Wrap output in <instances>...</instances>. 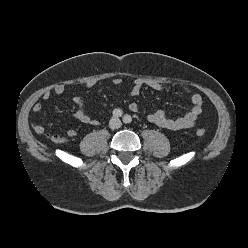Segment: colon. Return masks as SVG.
<instances>
[{
    "instance_id": "colon-1",
    "label": "colon",
    "mask_w": 248,
    "mask_h": 248,
    "mask_svg": "<svg viewBox=\"0 0 248 248\" xmlns=\"http://www.w3.org/2000/svg\"><path fill=\"white\" fill-rule=\"evenodd\" d=\"M196 135L198 137H203L205 135V130L204 129H201V128L200 129H197L196 130ZM52 140L55 141V142H58V143L63 142V138L61 136H54L52 138Z\"/></svg>"
}]
</instances>
